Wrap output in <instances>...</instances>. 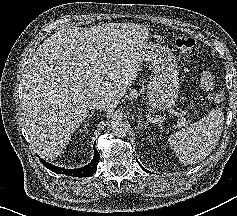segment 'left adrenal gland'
<instances>
[{"label": "left adrenal gland", "instance_id": "a2214340", "mask_svg": "<svg viewBox=\"0 0 237 216\" xmlns=\"http://www.w3.org/2000/svg\"><path fill=\"white\" fill-rule=\"evenodd\" d=\"M137 128L139 129H145V125L142 123V116H138V121H137Z\"/></svg>", "mask_w": 237, "mask_h": 216}]
</instances>
